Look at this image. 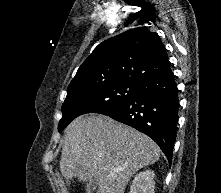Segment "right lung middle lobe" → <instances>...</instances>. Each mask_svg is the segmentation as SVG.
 <instances>
[{"label": "right lung middle lobe", "mask_w": 221, "mask_h": 193, "mask_svg": "<svg viewBox=\"0 0 221 193\" xmlns=\"http://www.w3.org/2000/svg\"><path fill=\"white\" fill-rule=\"evenodd\" d=\"M141 85L137 82H116L67 90L58 131L61 132L80 115L100 113L131 99L140 91Z\"/></svg>", "instance_id": "obj_1"}]
</instances>
